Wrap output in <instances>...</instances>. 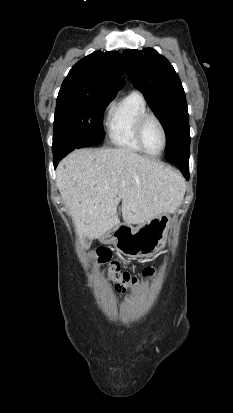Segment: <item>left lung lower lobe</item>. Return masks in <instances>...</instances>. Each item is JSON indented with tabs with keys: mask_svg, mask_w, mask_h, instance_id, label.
<instances>
[{
	"mask_svg": "<svg viewBox=\"0 0 233 413\" xmlns=\"http://www.w3.org/2000/svg\"><path fill=\"white\" fill-rule=\"evenodd\" d=\"M173 163L178 166L184 177L189 180V161H174Z\"/></svg>",
	"mask_w": 233,
	"mask_h": 413,
	"instance_id": "left-lung-lower-lobe-1",
	"label": "left lung lower lobe"
}]
</instances>
